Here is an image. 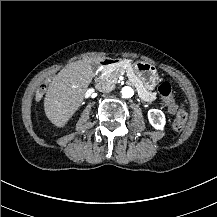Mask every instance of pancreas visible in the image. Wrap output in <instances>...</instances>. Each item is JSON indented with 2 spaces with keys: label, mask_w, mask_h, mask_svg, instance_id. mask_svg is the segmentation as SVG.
I'll return each instance as SVG.
<instances>
[{
  "label": "pancreas",
  "mask_w": 217,
  "mask_h": 217,
  "mask_svg": "<svg viewBox=\"0 0 217 217\" xmlns=\"http://www.w3.org/2000/svg\"><path fill=\"white\" fill-rule=\"evenodd\" d=\"M116 67H119V68L116 69L115 71H112V72L104 71L105 73H107V76L109 77V79H111L113 82H116L120 75V72L124 70V68H128L126 69L127 77L129 81L138 89V93L139 95H141L142 99L149 100L152 102L157 101L158 99L157 94L154 92H148L146 88L143 87L142 81L135 75L132 69V66H130L129 62L117 63Z\"/></svg>",
  "instance_id": "pancreas-1"
}]
</instances>
